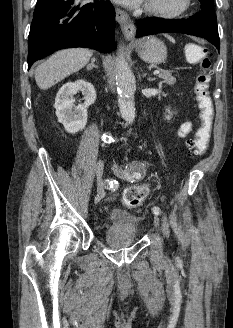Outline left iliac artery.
Returning <instances> with one entry per match:
<instances>
[{
  "instance_id": "44dca946",
  "label": "left iliac artery",
  "mask_w": 233,
  "mask_h": 328,
  "mask_svg": "<svg viewBox=\"0 0 233 328\" xmlns=\"http://www.w3.org/2000/svg\"><path fill=\"white\" fill-rule=\"evenodd\" d=\"M140 178H141V173H139V172H135V173H133V179H132V182H133L134 180H136V179H140ZM152 211H153V213H154L155 215H159V214L161 213L160 208H159V207H156V206H154V207L152 208Z\"/></svg>"
}]
</instances>
